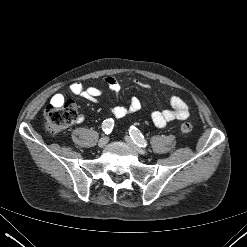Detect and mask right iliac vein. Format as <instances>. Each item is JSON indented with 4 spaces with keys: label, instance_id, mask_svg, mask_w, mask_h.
<instances>
[{
    "label": "right iliac vein",
    "instance_id": "right-iliac-vein-1",
    "mask_svg": "<svg viewBox=\"0 0 247 247\" xmlns=\"http://www.w3.org/2000/svg\"><path fill=\"white\" fill-rule=\"evenodd\" d=\"M108 141H109V138L108 137H102L100 140H99V142H98V146L100 147V148H103V147H105L106 145H107V143H108Z\"/></svg>",
    "mask_w": 247,
    "mask_h": 247
}]
</instances>
